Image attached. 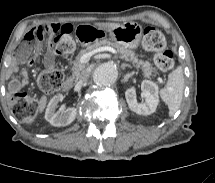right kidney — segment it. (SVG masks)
Masks as SVG:
<instances>
[{
  "label": "right kidney",
  "instance_id": "right-kidney-1",
  "mask_svg": "<svg viewBox=\"0 0 215 183\" xmlns=\"http://www.w3.org/2000/svg\"><path fill=\"white\" fill-rule=\"evenodd\" d=\"M64 99V96L62 94L55 95L50 102L48 103L46 112H45V119L52 125L56 127L60 126H67L71 124L77 114L76 108H68L62 113L55 112L57 108V104L59 102H62Z\"/></svg>",
  "mask_w": 215,
  "mask_h": 183
}]
</instances>
